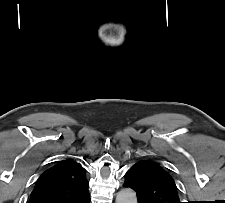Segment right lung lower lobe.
I'll return each mask as SVG.
<instances>
[{
  "mask_svg": "<svg viewBox=\"0 0 225 203\" xmlns=\"http://www.w3.org/2000/svg\"><path fill=\"white\" fill-rule=\"evenodd\" d=\"M81 203H90L89 195H88L86 198H84V199L81 201Z\"/></svg>",
  "mask_w": 225,
  "mask_h": 203,
  "instance_id": "98d812e1",
  "label": "right lung lower lobe"
}]
</instances>
